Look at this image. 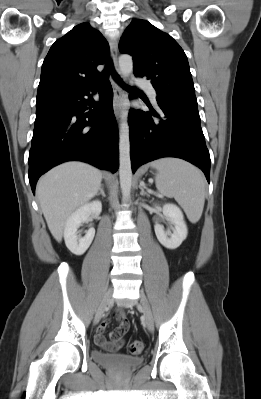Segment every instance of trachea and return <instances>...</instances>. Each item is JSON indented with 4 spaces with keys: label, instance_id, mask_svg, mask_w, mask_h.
Masks as SVG:
<instances>
[{
    "label": "trachea",
    "instance_id": "3493384b",
    "mask_svg": "<svg viewBox=\"0 0 261 399\" xmlns=\"http://www.w3.org/2000/svg\"><path fill=\"white\" fill-rule=\"evenodd\" d=\"M109 71H112V62L111 61L108 62L107 70H105L103 74L106 76V75H108ZM114 76L118 83L123 84L122 80L119 78V76L117 74H114Z\"/></svg>",
    "mask_w": 261,
    "mask_h": 399
}]
</instances>
